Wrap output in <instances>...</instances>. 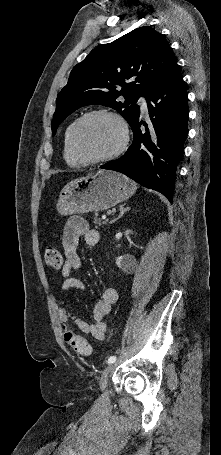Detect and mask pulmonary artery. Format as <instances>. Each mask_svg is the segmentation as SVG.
<instances>
[{"instance_id":"obj_1","label":"pulmonary artery","mask_w":221,"mask_h":455,"mask_svg":"<svg viewBox=\"0 0 221 455\" xmlns=\"http://www.w3.org/2000/svg\"><path fill=\"white\" fill-rule=\"evenodd\" d=\"M140 106H141V109L143 111V113H147V105H146V102L144 100H141L139 102Z\"/></svg>"}]
</instances>
